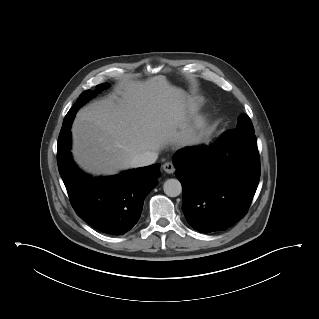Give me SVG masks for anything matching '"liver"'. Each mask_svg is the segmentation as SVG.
<instances>
[{"mask_svg":"<svg viewBox=\"0 0 319 319\" xmlns=\"http://www.w3.org/2000/svg\"><path fill=\"white\" fill-rule=\"evenodd\" d=\"M186 94L165 76L121 82L112 95L82 108L72 125L73 155L93 175L130 168L141 153L191 143Z\"/></svg>","mask_w":319,"mask_h":319,"instance_id":"1","label":"liver"}]
</instances>
